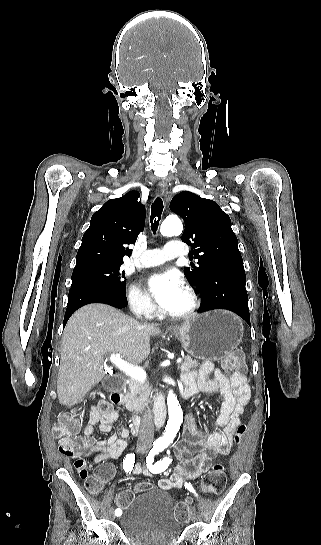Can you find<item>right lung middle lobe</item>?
<instances>
[{
	"label": "right lung middle lobe",
	"instance_id": "right-lung-middle-lobe-1",
	"mask_svg": "<svg viewBox=\"0 0 321 545\" xmlns=\"http://www.w3.org/2000/svg\"><path fill=\"white\" fill-rule=\"evenodd\" d=\"M122 264H96L73 270L72 284L93 283L112 288L119 292H126L125 272L120 271Z\"/></svg>",
	"mask_w": 321,
	"mask_h": 545
}]
</instances>
